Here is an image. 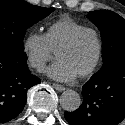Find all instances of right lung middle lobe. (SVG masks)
Instances as JSON below:
<instances>
[{
	"label": "right lung middle lobe",
	"instance_id": "dd1d6c3e",
	"mask_svg": "<svg viewBox=\"0 0 125 125\" xmlns=\"http://www.w3.org/2000/svg\"><path fill=\"white\" fill-rule=\"evenodd\" d=\"M53 11L54 8L31 5L23 0H0V42L24 50L27 28Z\"/></svg>",
	"mask_w": 125,
	"mask_h": 125
}]
</instances>
